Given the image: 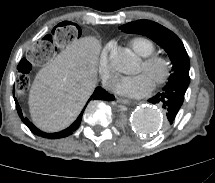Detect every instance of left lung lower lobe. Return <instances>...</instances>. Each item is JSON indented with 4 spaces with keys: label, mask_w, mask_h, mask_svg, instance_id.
I'll return each instance as SVG.
<instances>
[{
    "label": "left lung lower lobe",
    "mask_w": 215,
    "mask_h": 183,
    "mask_svg": "<svg viewBox=\"0 0 215 183\" xmlns=\"http://www.w3.org/2000/svg\"><path fill=\"white\" fill-rule=\"evenodd\" d=\"M187 88L188 85L182 82H167L159 93L149 99V102L162 106L168 121L172 124L182 106Z\"/></svg>",
    "instance_id": "1"
}]
</instances>
